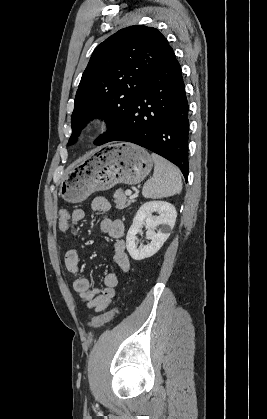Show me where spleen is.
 Returning a JSON list of instances; mask_svg holds the SVG:
<instances>
[{
  "instance_id": "obj_1",
  "label": "spleen",
  "mask_w": 267,
  "mask_h": 419,
  "mask_svg": "<svg viewBox=\"0 0 267 419\" xmlns=\"http://www.w3.org/2000/svg\"><path fill=\"white\" fill-rule=\"evenodd\" d=\"M155 167L154 174L143 186L142 194L145 198L159 199L175 194L182 190V179L179 170L161 156L152 153Z\"/></svg>"
}]
</instances>
